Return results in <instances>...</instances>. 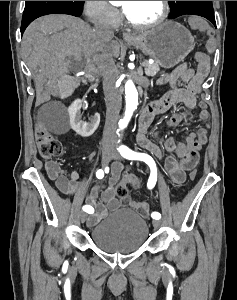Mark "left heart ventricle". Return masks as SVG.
I'll return each mask as SVG.
<instances>
[{"label":"left heart ventricle","mask_w":237,"mask_h":300,"mask_svg":"<svg viewBox=\"0 0 237 300\" xmlns=\"http://www.w3.org/2000/svg\"><path fill=\"white\" fill-rule=\"evenodd\" d=\"M125 13L138 24L155 21L161 14V1H123Z\"/></svg>","instance_id":"b2bd125f"}]
</instances>
